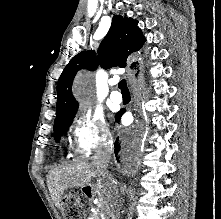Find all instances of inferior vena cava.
Segmentation results:
<instances>
[{
	"mask_svg": "<svg viewBox=\"0 0 221 219\" xmlns=\"http://www.w3.org/2000/svg\"><path fill=\"white\" fill-rule=\"evenodd\" d=\"M112 141L110 139H103L99 143L95 151V156L93 158V164L99 176L104 178H110L107 167L111 158L112 153ZM115 178L114 176L112 177ZM119 181L113 180L111 190L115 191V200L113 207L109 209L106 213V219H119L120 217V207L122 205L120 195L118 193Z\"/></svg>",
	"mask_w": 221,
	"mask_h": 219,
	"instance_id": "1",
	"label": "inferior vena cava"
}]
</instances>
